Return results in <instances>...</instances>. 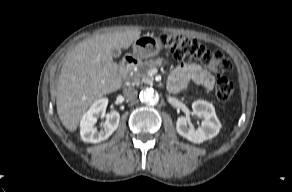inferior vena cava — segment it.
<instances>
[{"label":"inferior vena cava","mask_w":292,"mask_h":192,"mask_svg":"<svg viewBox=\"0 0 292 192\" xmlns=\"http://www.w3.org/2000/svg\"><path fill=\"white\" fill-rule=\"evenodd\" d=\"M123 94L126 99L134 101L138 96V91L134 87H127L124 89Z\"/></svg>","instance_id":"inferior-vena-cava-1"}]
</instances>
